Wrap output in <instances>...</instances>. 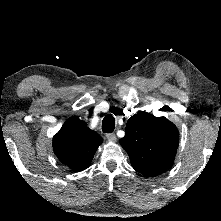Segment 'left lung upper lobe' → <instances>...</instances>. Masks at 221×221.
<instances>
[{"label": "left lung upper lobe", "mask_w": 221, "mask_h": 221, "mask_svg": "<svg viewBox=\"0 0 221 221\" xmlns=\"http://www.w3.org/2000/svg\"><path fill=\"white\" fill-rule=\"evenodd\" d=\"M178 143V130L172 122L146 112L129 118L125 136L120 139L132 167L148 177L162 174L173 165Z\"/></svg>", "instance_id": "left-lung-upper-lobe-1"}]
</instances>
